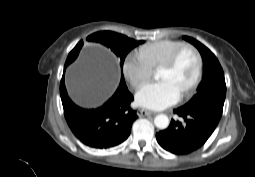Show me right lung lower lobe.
Wrapping results in <instances>:
<instances>
[{
    "label": "right lung lower lobe",
    "instance_id": "98d812e1",
    "mask_svg": "<svg viewBox=\"0 0 255 177\" xmlns=\"http://www.w3.org/2000/svg\"><path fill=\"white\" fill-rule=\"evenodd\" d=\"M60 95L70 129L89 147L107 149L121 144L130 135L132 123L137 119L136 111L130 108L133 95L126 84L120 83L115 94L96 109L80 107L69 98L64 75L60 83Z\"/></svg>",
    "mask_w": 255,
    "mask_h": 177
}]
</instances>
